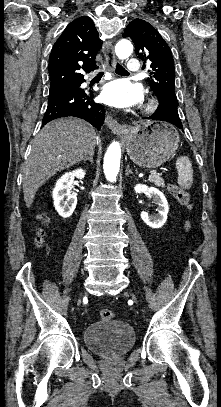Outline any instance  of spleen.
I'll use <instances>...</instances> for the list:
<instances>
[{"label":"spleen","mask_w":221,"mask_h":407,"mask_svg":"<svg viewBox=\"0 0 221 407\" xmlns=\"http://www.w3.org/2000/svg\"><path fill=\"white\" fill-rule=\"evenodd\" d=\"M176 169L178 185L184 189H190L193 183V169L190 160L185 156L179 157L176 161Z\"/></svg>","instance_id":"1"}]
</instances>
